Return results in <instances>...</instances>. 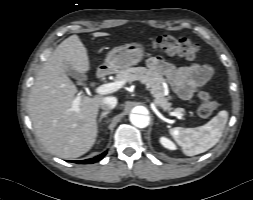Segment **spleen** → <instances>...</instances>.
<instances>
[{"mask_svg": "<svg viewBox=\"0 0 253 200\" xmlns=\"http://www.w3.org/2000/svg\"><path fill=\"white\" fill-rule=\"evenodd\" d=\"M228 120V112L222 110L208 123L197 128L174 127L170 135L182 147L184 154L194 156L203 153L220 140Z\"/></svg>", "mask_w": 253, "mask_h": 200, "instance_id": "3e777b00", "label": "spleen"}]
</instances>
